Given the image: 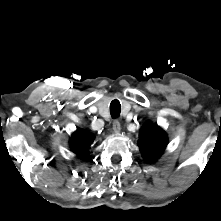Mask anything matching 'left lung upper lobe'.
<instances>
[{
	"instance_id": "1",
	"label": "left lung upper lobe",
	"mask_w": 221,
	"mask_h": 221,
	"mask_svg": "<svg viewBox=\"0 0 221 221\" xmlns=\"http://www.w3.org/2000/svg\"><path fill=\"white\" fill-rule=\"evenodd\" d=\"M167 136L157 124L147 122L144 124L138 145L144 159L151 163L162 154L167 145Z\"/></svg>"
}]
</instances>
